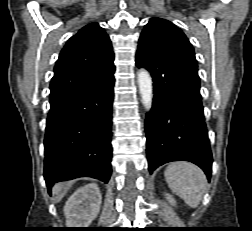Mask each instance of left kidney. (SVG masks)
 I'll list each match as a JSON object with an SVG mask.
<instances>
[{
	"label": "left kidney",
	"mask_w": 252,
	"mask_h": 231,
	"mask_svg": "<svg viewBox=\"0 0 252 231\" xmlns=\"http://www.w3.org/2000/svg\"><path fill=\"white\" fill-rule=\"evenodd\" d=\"M166 195V199L172 204L175 205L176 201L175 199L170 195V194H165Z\"/></svg>",
	"instance_id": "obj_1"
}]
</instances>
